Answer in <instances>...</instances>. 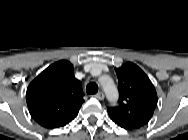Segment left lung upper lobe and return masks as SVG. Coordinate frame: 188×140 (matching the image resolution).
<instances>
[{
  "label": "left lung upper lobe",
  "mask_w": 188,
  "mask_h": 140,
  "mask_svg": "<svg viewBox=\"0 0 188 140\" xmlns=\"http://www.w3.org/2000/svg\"><path fill=\"white\" fill-rule=\"evenodd\" d=\"M119 81V103L107 111L124 129H138L151 119L157 105L155 88L147 75L134 63L115 69Z\"/></svg>",
  "instance_id": "5c2ea615"
}]
</instances>
